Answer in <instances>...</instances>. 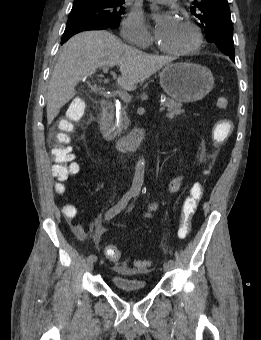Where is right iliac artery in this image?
I'll return each mask as SVG.
<instances>
[{
    "label": "right iliac artery",
    "mask_w": 261,
    "mask_h": 340,
    "mask_svg": "<svg viewBox=\"0 0 261 340\" xmlns=\"http://www.w3.org/2000/svg\"><path fill=\"white\" fill-rule=\"evenodd\" d=\"M131 194L130 193H126L121 199L120 201L114 205L112 208H110L106 214H105V220H110L112 219L115 215H117L118 213H120L128 204L130 198H131ZM88 261L91 262H95L97 260L96 255L91 254L87 257Z\"/></svg>",
    "instance_id": "1"
}]
</instances>
